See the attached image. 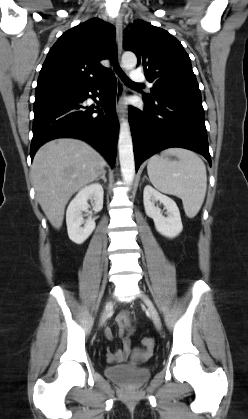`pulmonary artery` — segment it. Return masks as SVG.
<instances>
[{"label": "pulmonary artery", "instance_id": "obj_1", "mask_svg": "<svg viewBox=\"0 0 248 419\" xmlns=\"http://www.w3.org/2000/svg\"><path fill=\"white\" fill-rule=\"evenodd\" d=\"M131 79L133 80V82L147 83L148 85H150L148 82H146L144 74L139 69L132 70Z\"/></svg>", "mask_w": 248, "mask_h": 419}]
</instances>
